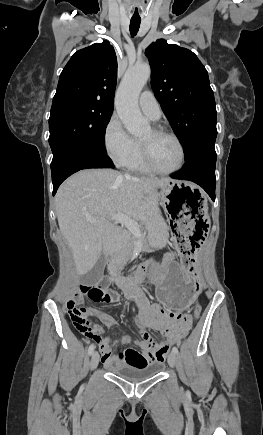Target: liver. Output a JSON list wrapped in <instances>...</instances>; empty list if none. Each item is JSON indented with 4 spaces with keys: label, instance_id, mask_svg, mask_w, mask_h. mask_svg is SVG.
<instances>
[{
    "label": "liver",
    "instance_id": "liver-1",
    "mask_svg": "<svg viewBox=\"0 0 263 435\" xmlns=\"http://www.w3.org/2000/svg\"><path fill=\"white\" fill-rule=\"evenodd\" d=\"M172 181L138 178L110 169L82 170L68 178L57 191L55 206L77 274H86L101 256H113L125 247L129 233L110 219L118 213L145 223L151 243L163 248L168 233L158 207L157 188Z\"/></svg>",
    "mask_w": 263,
    "mask_h": 435
}]
</instances>
